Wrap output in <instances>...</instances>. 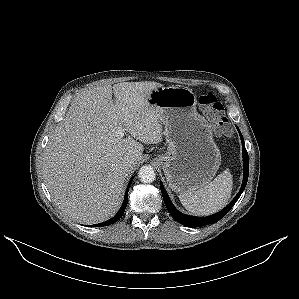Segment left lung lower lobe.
Returning a JSON list of instances; mask_svg holds the SVG:
<instances>
[{
	"mask_svg": "<svg viewBox=\"0 0 299 299\" xmlns=\"http://www.w3.org/2000/svg\"><path fill=\"white\" fill-rule=\"evenodd\" d=\"M237 127V126H236ZM237 130L240 134V138H241V142L243 145V169H244V177H243V182H242V186L240 191L238 192V194L235 196V198L231 201L230 204H228L223 210H221L220 212L209 216V217H194V216H189V215H185L182 214L181 212H179L175 206L173 205V203L171 202L164 186L162 184H160L161 187V192H162V196L165 202V205L169 211V213L172 215V217L179 222L180 224L187 226V227H200V226H204V225H209V224H213L217 221H219L223 216H225L229 210L234 206V204L237 202V200L239 199V197L241 196L242 192L244 191L246 184H247V180H248V174H249V157H248V153L246 151V148L244 146V139L243 136L239 130V128L237 127Z\"/></svg>",
	"mask_w": 299,
	"mask_h": 299,
	"instance_id": "obj_1",
	"label": "left lung lower lobe"
}]
</instances>
